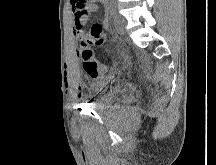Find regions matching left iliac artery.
Masks as SVG:
<instances>
[{
  "mask_svg": "<svg viewBox=\"0 0 216 165\" xmlns=\"http://www.w3.org/2000/svg\"><path fill=\"white\" fill-rule=\"evenodd\" d=\"M115 16H116V7H115V6H112V7H111V10H110V17H111L112 19H114Z\"/></svg>",
  "mask_w": 216,
  "mask_h": 165,
  "instance_id": "1",
  "label": "left iliac artery"
}]
</instances>
